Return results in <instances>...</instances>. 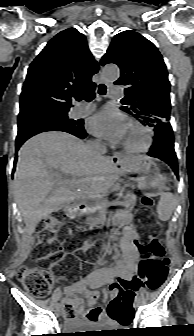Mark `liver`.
I'll return each mask as SVG.
<instances>
[{"label":"liver","mask_w":194,"mask_h":336,"mask_svg":"<svg viewBox=\"0 0 194 336\" xmlns=\"http://www.w3.org/2000/svg\"><path fill=\"white\" fill-rule=\"evenodd\" d=\"M132 156L123 157L129 162ZM123 173L113 158L92 155L86 144L65 132H46L18 152L14 194L28 235L37 224L75 199L105 195ZM62 175L83 177L62 180Z\"/></svg>","instance_id":"obj_1"}]
</instances>
